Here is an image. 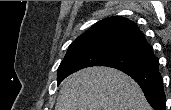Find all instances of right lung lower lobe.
<instances>
[{
    "label": "right lung lower lobe",
    "instance_id": "obj_1",
    "mask_svg": "<svg viewBox=\"0 0 171 110\" xmlns=\"http://www.w3.org/2000/svg\"><path fill=\"white\" fill-rule=\"evenodd\" d=\"M132 77L141 87L149 104L154 110H165L166 99L158 64L146 70L123 71Z\"/></svg>",
    "mask_w": 171,
    "mask_h": 110
}]
</instances>
